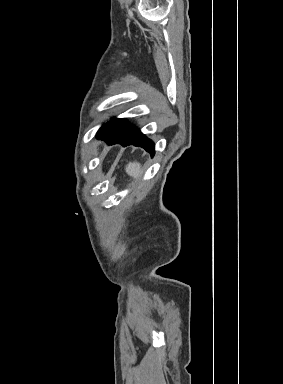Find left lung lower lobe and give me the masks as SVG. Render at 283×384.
I'll list each match as a JSON object with an SVG mask.
<instances>
[{"label": "left lung lower lobe", "instance_id": "0a47b994", "mask_svg": "<svg viewBox=\"0 0 283 384\" xmlns=\"http://www.w3.org/2000/svg\"><path fill=\"white\" fill-rule=\"evenodd\" d=\"M97 137L105 140L109 145L140 146L150 152L152 157L155 153L154 143L125 119H113L107 122L99 129Z\"/></svg>", "mask_w": 283, "mask_h": 384}]
</instances>
